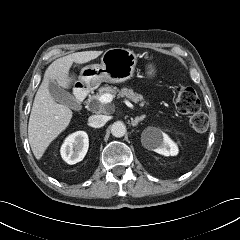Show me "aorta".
<instances>
[{"label": "aorta", "mask_w": 240, "mask_h": 240, "mask_svg": "<svg viewBox=\"0 0 240 240\" xmlns=\"http://www.w3.org/2000/svg\"><path fill=\"white\" fill-rule=\"evenodd\" d=\"M111 133L114 137H123L126 133V126L123 122L117 121L111 126Z\"/></svg>", "instance_id": "762f6f07"}]
</instances>
